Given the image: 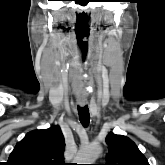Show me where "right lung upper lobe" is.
Returning a JSON list of instances; mask_svg holds the SVG:
<instances>
[{
  "label": "right lung upper lobe",
  "mask_w": 165,
  "mask_h": 165,
  "mask_svg": "<svg viewBox=\"0 0 165 165\" xmlns=\"http://www.w3.org/2000/svg\"><path fill=\"white\" fill-rule=\"evenodd\" d=\"M65 140L58 125L34 130L17 143L8 165H66L63 152Z\"/></svg>",
  "instance_id": "obj_1"
}]
</instances>
